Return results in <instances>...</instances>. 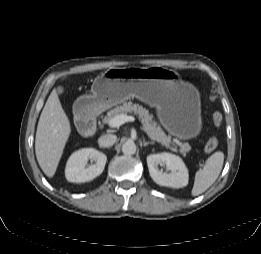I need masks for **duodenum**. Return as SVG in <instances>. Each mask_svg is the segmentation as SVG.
I'll use <instances>...</instances> for the list:
<instances>
[{"label":"duodenum","instance_id":"obj_1","mask_svg":"<svg viewBox=\"0 0 261 254\" xmlns=\"http://www.w3.org/2000/svg\"><path fill=\"white\" fill-rule=\"evenodd\" d=\"M77 125L86 134L94 133L97 125L96 111L82 104L77 111Z\"/></svg>","mask_w":261,"mask_h":254}]
</instances>
